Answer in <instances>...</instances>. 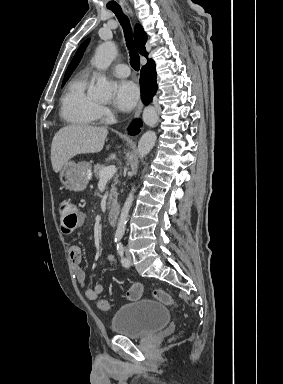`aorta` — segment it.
<instances>
[{
	"instance_id": "obj_1",
	"label": "aorta",
	"mask_w": 283,
	"mask_h": 384,
	"mask_svg": "<svg viewBox=\"0 0 283 384\" xmlns=\"http://www.w3.org/2000/svg\"><path fill=\"white\" fill-rule=\"evenodd\" d=\"M117 55V48L113 42L107 41L102 43L95 52L94 56V65L100 69L105 70L109 67L112 61ZM114 84L107 80L105 76H100L97 79L96 85L93 90V95L97 98H109L111 96ZM158 113L157 110L152 107H146L143 111V121L149 127H155L158 122ZM157 136L154 131L145 132L139 140L138 143V153L139 157L143 159L154 147ZM133 187L129 193L123 208L120 213L116 235L122 237L125 233L127 218L129 215L130 208L134 199Z\"/></svg>"
}]
</instances>
